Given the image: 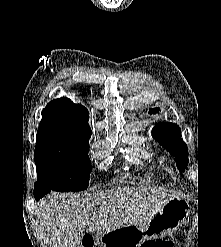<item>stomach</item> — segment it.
<instances>
[{"mask_svg":"<svg viewBox=\"0 0 221 247\" xmlns=\"http://www.w3.org/2000/svg\"><path fill=\"white\" fill-rule=\"evenodd\" d=\"M190 209L188 200L175 197L169 200L149 222L98 232L97 242L100 247H141L147 240L176 231L186 221Z\"/></svg>","mask_w":221,"mask_h":247,"instance_id":"0dacf381","label":"stomach"}]
</instances>
